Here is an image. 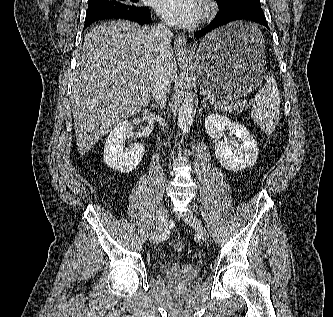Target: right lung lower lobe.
<instances>
[{"instance_id":"98d812e1","label":"right lung lower lobe","mask_w":333,"mask_h":317,"mask_svg":"<svg viewBox=\"0 0 333 317\" xmlns=\"http://www.w3.org/2000/svg\"><path fill=\"white\" fill-rule=\"evenodd\" d=\"M104 19H124L130 20L133 22H137L139 24H147L150 20V12L149 9L147 10H134L128 12H101V13H94V14H86L85 18V25L84 28L92 24L97 20H104Z\"/></svg>"}]
</instances>
